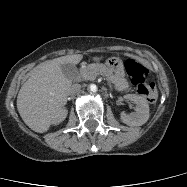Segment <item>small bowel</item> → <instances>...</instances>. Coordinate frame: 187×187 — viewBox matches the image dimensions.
Returning a JSON list of instances; mask_svg holds the SVG:
<instances>
[{
	"label": "small bowel",
	"instance_id": "obj_1",
	"mask_svg": "<svg viewBox=\"0 0 187 187\" xmlns=\"http://www.w3.org/2000/svg\"><path fill=\"white\" fill-rule=\"evenodd\" d=\"M126 87H127V85L124 82H121V83L118 84L119 89H124Z\"/></svg>",
	"mask_w": 187,
	"mask_h": 187
}]
</instances>
